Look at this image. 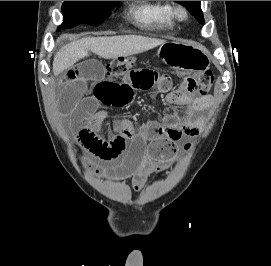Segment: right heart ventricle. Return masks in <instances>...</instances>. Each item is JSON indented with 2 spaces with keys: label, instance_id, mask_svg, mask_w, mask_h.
I'll use <instances>...</instances> for the list:
<instances>
[{
  "label": "right heart ventricle",
  "instance_id": "right-heart-ventricle-1",
  "mask_svg": "<svg viewBox=\"0 0 271 266\" xmlns=\"http://www.w3.org/2000/svg\"><path fill=\"white\" fill-rule=\"evenodd\" d=\"M133 16L147 26L172 27L175 23L173 6L167 1H144L133 11Z\"/></svg>",
  "mask_w": 271,
  "mask_h": 266
}]
</instances>
